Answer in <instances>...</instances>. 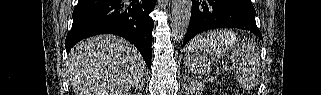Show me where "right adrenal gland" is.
Returning a JSON list of instances; mask_svg holds the SVG:
<instances>
[{"instance_id":"2a0ac1e0","label":"right adrenal gland","mask_w":321,"mask_h":95,"mask_svg":"<svg viewBox=\"0 0 321 95\" xmlns=\"http://www.w3.org/2000/svg\"><path fill=\"white\" fill-rule=\"evenodd\" d=\"M143 86H144V79L141 81V83L135 88V90H139V91H141L142 90V88H143Z\"/></svg>"}]
</instances>
